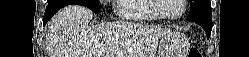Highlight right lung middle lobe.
<instances>
[{
    "mask_svg": "<svg viewBox=\"0 0 249 57\" xmlns=\"http://www.w3.org/2000/svg\"><path fill=\"white\" fill-rule=\"evenodd\" d=\"M48 4L57 5V6L79 4L90 8L95 13H99L98 0H48Z\"/></svg>",
    "mask_w": 249,
    "mask_h": 57,
    "instance_id": "right-lung-middle-lobe-1",
    "label": "right lung middle lobe"
}]
</instances>
